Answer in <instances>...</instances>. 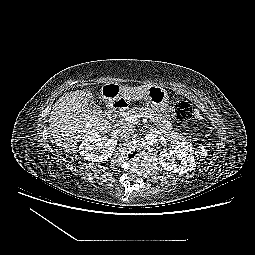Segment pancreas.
Returning a JSON list of instances; mask_svg holds the SVG:
<instances>
[{
    "mask_svg": "<svg viewBox=\"0 0 255 255\" xmlns=\"http://www.w3.org/2000/svg\"><path fill=\"white\" fill-rule=\"evenodd\" d=\"M145 113L155 118L156 120L155 123L157 124L159 129L162 131L164 137L168 141L172 143H177L179 140L180 141L186 140V138L182 134H179L173 130L172 124L167 119H165L164 116L156 113L155 111H153L151 108H148V107H135L130 110H127V112H125L122 115V121H125V123H128L126 121V117L130 115H137V114L141 115Z\"/></svg>",
    "mask_w": 255,
    "mask_h": 255,
    "instance_id": "cf45deb5",
    "label": "pancreas"
}]
</instances>
